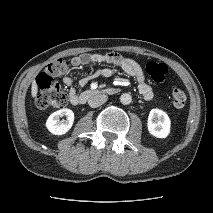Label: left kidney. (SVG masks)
Masks as SVG:
<instances>
[{
    "label": "left kidney",
    "instance_id": "1",
    "mask_svg": "<svg viewBox=\"0 0 213 213\" xmlns=\"http://www.w3.org/2000/svg\"><path fill=\"white\" fill-rule=\"evenodd\" d=\"M148 131L156 138H166L171 131V120L161 109H152L147 121Z\"/></svg>",
    "mask_w": 213,
    "mask_h": 213
}]
</instances>
